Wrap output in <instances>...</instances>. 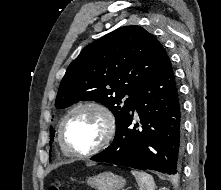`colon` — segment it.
<instances>
[{
	"mask_svg": "<svg viewBox=\"0 0 221 190\" xmlns=\"http://www.w3.org/2000/svg\"><path fill=\"white\" fill-rule=\"evenodd\" d=\"M48 190H62V185L60 182H54L50 185Z\"/></svg>",
	"mask_w": 221,
	"mask_h": 190,
	"instance_id": "colon-1",
	"label": "colon"
}]
</instances>
